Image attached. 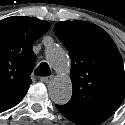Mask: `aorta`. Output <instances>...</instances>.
I'll use <instances>...</instances> for the list:
<instances>
[{"mask_svg":"<svg viewBox=\"0 0 125 125\" xmlns=\"http://www.w3.org/2000/svg\"><path fill=\"white\" fill-rule=\"evenodd\" d=\"M46 59L53 69L59 73L48 85L50 98L55 104L64 105L72 96V83L69 77L63 75L70 68L68 55L64 49L52 45L46 49Z\"/></svg>","mask_w":125,"mask_h":125,"instance_id":"762f6f07","label":"aorta"}]
</instances>
